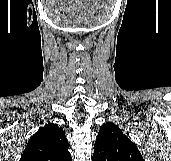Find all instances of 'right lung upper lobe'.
<instances>
[{"instance_id":"cb5924a9","label":"right lung upper lobe","mask_w":171,"mask_h":161,"mask_svg":"<svg viewBox=\"0 0 171 161\" xmlns=\"http://www.w3.org/2000/svg\"><path fill=\"white\" fill-rule=\"evenodd\" d=\"M68 147L63 129L48 123L29 139L20 161H71Z\"/></svg>"}]
</instances>
